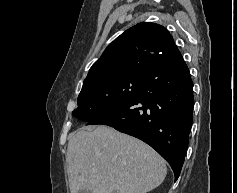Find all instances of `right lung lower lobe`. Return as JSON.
I'll list each match as a JSON object with an SVG mask.
<instances>
[{
    "mask_svg": "<svg viewBox=\"0 0 237 193\" xmlns=\"http://www.w3.org/2000/svg\"><path fill=\"white\" fill-rule=\"evenodd\" d=\"M193 83L179 51L158 61L126 104L88 124H103L154 148L178 179L192 125Z\"/></svg>",
    "mask_w": 237,
    "mask_h": 193,
    "instance_id": "98d812e1",
    "label": "right lung lower lobe"
}]
</instances>
